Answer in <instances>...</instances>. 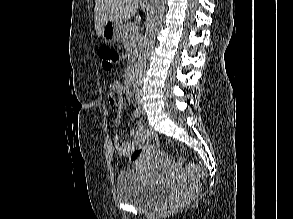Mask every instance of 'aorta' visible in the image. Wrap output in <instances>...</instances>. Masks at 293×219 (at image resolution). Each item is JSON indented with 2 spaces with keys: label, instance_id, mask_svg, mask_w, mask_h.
<instances>
[{
  "label": "aorta",
  "instance_id": "762f6f07",
  "mask_svg": "<svg viewBox=\"0 0 293 219\" xmlns=\"http://www.w3.org/2000/svg\"><path fill=\"white\" fill-rule=\"evenodd\" d=\"M164 11V0H153L151 15L148 19L146 32L141 44L140 54L135 68L134 82L137 89L142 84L143 69L147 63L151 48L154 44L156 31L161 24Z\"/></svg>",
  "mask_w": 293,
  "mask_h": 219
}]
</instances>
